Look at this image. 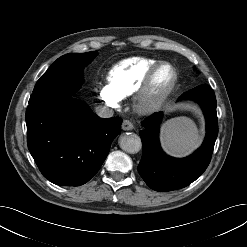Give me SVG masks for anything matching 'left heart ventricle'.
Instances as JSON below:
<instances>
[{
    "instance_id": "left-heart-ventricle-1",
    "label": "left heart ventricle",
    "mask_w": 247,
    "mask_h": 247,
    "mask_svg": "<svg viewBox=\"0 0 247 247\" xmlns=\"http://www.w3.org/2000/svg\"><path fill=\"white\" fill-rule=\"evenodd\" d=\"M173 78L172 70L165 66L162 67L157 74L155 75L152 85H151V94L156 96L162 93L170 84Z\"/></svg>"
}]
</instances>
